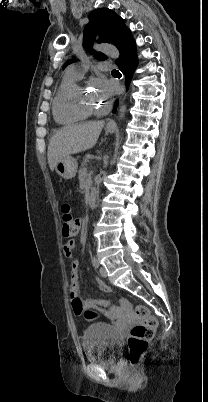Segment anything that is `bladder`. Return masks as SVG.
Here are the masks:
<instances>
[{"label":"bladder","mask_w":208,"mask_h":402,"mask_svg":"<svg viewBox=\"0 0 208 402\" xmlns=\"http://www.w3.org/2000/svg\"><path fill=\"white\" fill-rule=\"evenodd\" d=\"M121 336L107 323H95L85 329L83 349L88 360L100 365L115 363Z\"/></svg>","instance_id":"obj_1"}]
</instances>
